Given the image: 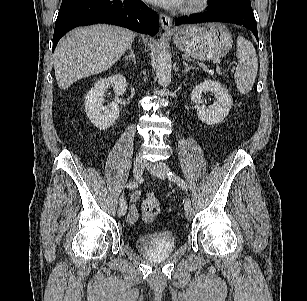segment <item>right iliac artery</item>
<instances>
[{
  "instance_id": "1",
  "label": "right iliac artery",
  "mask_w": 307,
  "mask_h": 301,
  "mask_svg": "<svg viewBox=\"0 0 307 301\" xmlns=\"http://www.w3.org/2000/svg\"><path fill=\"white\" fill-rule=\"evenodd\" d=\"M126 187L129 188V189L137 188L138 187V182L137 181L128 182ZM123 205H126V201H125L124 197L122 196L120 198V206H123Z\"/></svg>"
}]
</instances>
